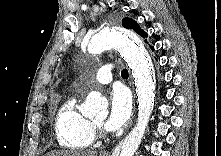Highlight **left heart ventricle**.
Masks as SVG:
<instances>
[{"instance_id":"b2bd125f","label":"left heart ventricle","mask_w":221,"mask_h":156,"mask_svg":"<svg viewBox=\"0 0 221 156\" xmlns=\"http://www.w3.org/2000/svg\"><path fill=\"white\" fill-rule=\"evenodd\" d=\"M96 123L101 124V123H102V121H101V120H98V121H96Z\"/></svg>"}]
</instances>
